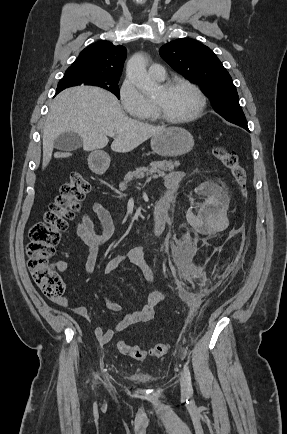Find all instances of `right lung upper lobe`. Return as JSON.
I'll list each match as a JSON object with an SVG mask.
<instances>
[{"mask_svg": "<svg viewBox=\"0 0 287 434\" xmlns=\"http://www.w3.org/2000/svg\"><path fill=\"white\" fill-rule=\"evenodd\" d=\"M126 59V48L109 41H99L86 47L67 71L97 77L120 78ZM62 91L57 89V93Z\"/></svg>", "mask_w": 287, "mask_h": 434, "instance_id": "1", "label": "right lung upper lobe"}]
</instances>
